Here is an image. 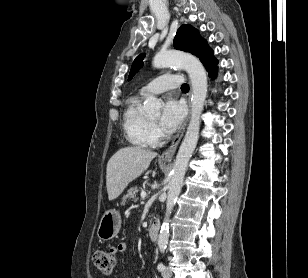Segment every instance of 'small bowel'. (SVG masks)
Masks as SVG:
<instances>
[{
	"instance_id": "small-bowel-1",
	"label": "small bowel",
	"mask_w": 308,
	"mask_h": 278,
	"mask_svg": "<svg viewBox=\"0 0 308 278\" xmlns=\"http://www.w3.org/2000/svg\"><path fill=\"white\" fill-rule=\"evenodd\" d=\"M126 250H127V243L126 242H119L117 245L112 246L110 248V251L115 255L124 253Z\"/></svg>"
}]
</instances>
